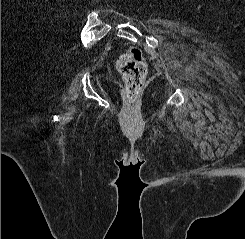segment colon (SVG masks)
Masks as SVG:
<instances>
[{
  "label": "colon",
  "instance_id": "colon-1",
  "mask_svg": "<svg viewBox=\"0 0 245 239\" xmlns=\"http://www.w3.org/2000/svg\"><path fill=\"white\" fill-rule=\"evenodd\" d=\"M116 67L125 82L127 98L133 103L144 85L147 73L145 58L139 48L130 47L118 57Z\"/></svg>",
  "mask_w": 245,
  "mask_h": 239
}]
</instances>
